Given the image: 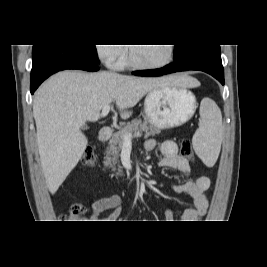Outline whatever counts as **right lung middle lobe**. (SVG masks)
<instances>
[{"label": "right lung middle lobe", "instance_id": "obj_1", "mask_svg": "<svg viewBox=\"0 0 267 267\" xmlns=\"http://www.w3.org/2000/svg\"><path fill=\"white\" fill-rule=\"evenodd\" d=\"M70 46L79 50L84 55L88 56L91 60L95 61L96 63H99L95 45H70Z\"/></svg>", "mask_w": 267, "mask_h": 267}]
</instances>
